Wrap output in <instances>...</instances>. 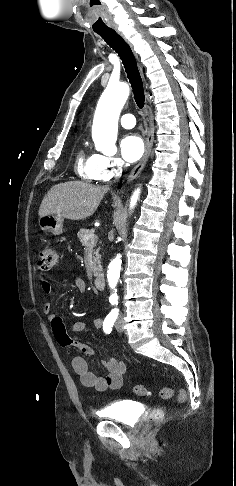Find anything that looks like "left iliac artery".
Listing matches in <instances>:
<instances>
[{
    "label": "left iliac artery",
    "instance_id": "obj_1",
    "mask_svg": "<svg viewBox=\"0 0 236 486\" xmlns=\"http://www.w3.org/2000/svg\"><path fill=\"white\" fill-rule=\"evenodd\" d=\"M110 302H111L112 304H118L117 299H110Z\"/></svg>",
    "mask_w": 236,
    "mask_h": 486
}]
</instances>
